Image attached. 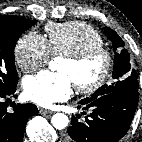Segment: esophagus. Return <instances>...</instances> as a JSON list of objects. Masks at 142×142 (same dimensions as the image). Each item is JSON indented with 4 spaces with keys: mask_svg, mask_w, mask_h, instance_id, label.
Masks as SVG:
<instances>
[{
    "mask_svg": "<svg viewBox=\"0 0 142 142\" xmlns=\"http://www.w3.org/2000/svg\"><path fill=\"white\" fill-rule=\"evenodd\" d=\"M39 113L42 114V115H45V114H51L52 112L49 111V110L40 108L39 109Z\"/></svg>",
    "mask_w": 142,
    "mask_h": 142,
    "instance_id": "1",
    "label": "esophagus"
}]
</instances>
